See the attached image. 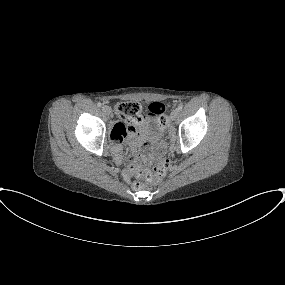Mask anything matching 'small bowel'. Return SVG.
<instances>
[{
    "label": "small bowel",
    "mask_w": 285,
    "mask_h": 285,
    "mask_svg": "<svg viewBox=\"0 0 285 285\" xmlns=\"http://www.w3.org/2000/svg\"><path fill=\"white\" fill-rule=\"evenodd\" d=\"M153 119L143 116L142 119L134 124L133 129L127 131L124 123H116L111 132V153L117 163L122 161V151L124 143H129L133 153L138 154L143 144L152 137L151 124ZM126 181H131L132 176L128 172H123Z\"/></svg>",
    "instance_id": "1"
}]
</instances>
